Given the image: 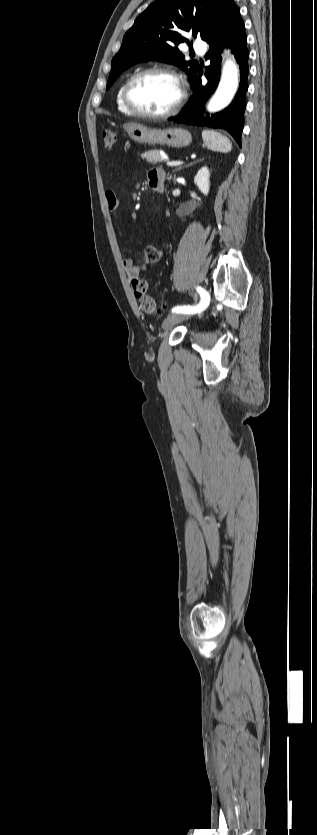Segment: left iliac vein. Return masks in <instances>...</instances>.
Returning <instances> with one entry per match:
<instances>
[{"instance_id": "4c4485c4", "label": "left iliac vein", "mask_w": 317, "mask_h": 835, "mask_svg": "<svg viewBox=\"0 0 317 835\" xmlns=\"http://www.w3.org/2000/svg\"><path fill=\"white\" fill-rule=\"evenodd\" d=\"M188 318H189V315H187L185 313H173V314L167 316L164 319V321L162 323V329L164 331H168V330L172 329L176 324H178V323H180L183 320L188 319Z\"/></svg>"}]
</instances>
